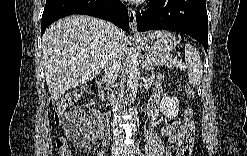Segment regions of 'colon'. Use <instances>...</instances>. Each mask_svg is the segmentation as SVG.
<instances>
[{"instance_id":"colon-1","label":"colon","mask_w":247,"mask_h":156,"mask_svg":"<svg viewBox=\"0 0 247 156\" xmlns=\"http://www.w3.org/2000/svg\"><path fill=\"white\" fill-rule=\"evenodd\" d=\"M84 92V89H76L72 92L66 94L62 100L57 104L54 111V122L59 129V134L56 137V150L58 155L60 156H69L70 155V145L67 138L64 135L63 129L65 125L68 123L67 117V109L76 101L80 99ZM190 94H192L190 92ZM194 115V110L192 106H189L185 111L184 117V126H187L192 123ZM181 155H187L185 153H181Z\"/></svg>"}]
</instances>
